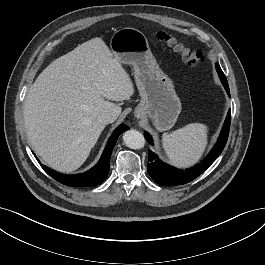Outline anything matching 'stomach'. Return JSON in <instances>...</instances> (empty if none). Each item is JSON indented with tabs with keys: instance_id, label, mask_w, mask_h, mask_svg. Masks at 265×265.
I'll use <instances>...</instances> for the list:
<instances>
[{
	"instance_id": "obj_1",
	"label": "stomach",
	"mask_w": 265,
	"mask_h": 265,
	"mask_svg": "<svg viewBox=\"0 0 265 265\" xmlns=\"http://www.w3.org/2000/svg\"><path fill=\"white\" fill-rule=\"evenodd\" d=\"M113 56L132 65L141 96L138 118L149 117L158 131L170 129L181 112V102L171 79L159 68L145 35L135 28L116 31L110 41Z\"/></svg>"
}]
</instances>
